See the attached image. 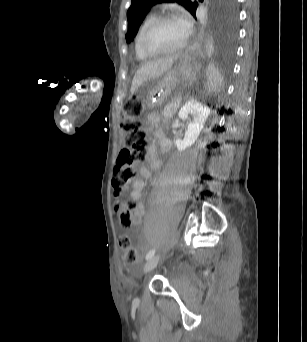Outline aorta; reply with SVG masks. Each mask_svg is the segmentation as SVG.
Returning a JSON list of instances; mask_svg holds the SVG:
<instances>
[{
    "instance_id": "762f6f07",
    "label": "aorta",
    "mask_w": 307,
    "mask_h": 342,
    "mask_svg": "<svg viewBox=\"0 0 307 342\" xmlns=\"http://www.w3.org/2000/svg\"><path fill=\"white\" fill-rule=\"evenodd\" d=\"M206 52H207L208 58H211V56H212V54L214 52V46H213L212 40H208Z\"/></svg>"
}]
</instances>
